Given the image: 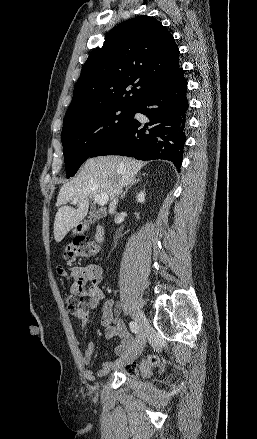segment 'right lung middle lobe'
<instances>
[{"label": "right lung middle lobe", "instance_id": "obj_1", "mask_svg": "<svg viewBox=\"0 0 257 439\" xmlns=\"http://www.w3.org/2000/svg\"><path fill=\"white\" fill-rule=\"evenodd\" d=\"M135 108L108 106L64 120L61 141L67 178L75 175L99 144L132 120Z\"/></svg>", "mask_w": 257, "mask_h": 439}]
</instances>
